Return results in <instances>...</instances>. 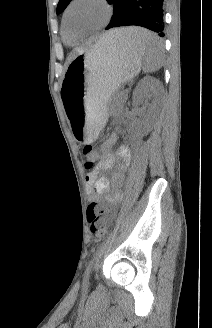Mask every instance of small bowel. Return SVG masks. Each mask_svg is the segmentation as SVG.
Returning <instances> with one entry per match:
<instances>
[{"label":"small bowel","instance_id":"c3829d8e","mask_svg":"<svg viewBox=\"0 0 212 328\" xmlns=\"http://www.w3.org/2000/svg\"><path fill=\"white\" fill-rule=\"evenodd\" d=\"M120 161L123 166H126L130 160V150L126 146H120L116 152L105 149L98 165L89 171L86 175V182L89 185L92 201L99 200V196L108 191V184L104 179L99 178L101 171L110 169L115 161ZM124 181V169H121L114 175V182L117 188L107 198L109 206L107 207L106 220L110 221L116 212V205L122 199V192L119 186Z\"/></svg>","mask_w":212,"mask_h":328}]
</instances>
